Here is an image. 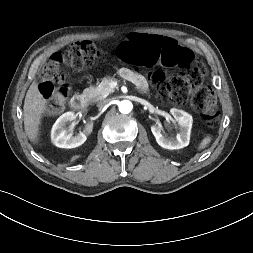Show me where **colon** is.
I'll list each match as a JSON object with an SVG mask.
<instances>
[{"instance_id": "obj_1", "label": "colon", "mask_w": 253, "mask_h": 253, "mask_svg": "<svg viewBox=\"0 0 253 253\" xmlns=\"http://www.w3.org/2000/svg\"><path fill=\"white\" fill-rule=\"evenodd\" d=\"M104 56L101 48L87 41L72 43L65 53L52 54L39 84L41 95L50 100L49 109H60L68 96L64 65L76 68L91 66ZM117 56L134 66L178 69V73L170 77L162 71L151 72L149 80L166 101L181 104L190 96L192 106L204 121L211 126L215 124L217 100L212 90L204 85L205 68L181 43L156 34L132 35L127 42L119 45Z\"/></svg>"}]
</instances>
